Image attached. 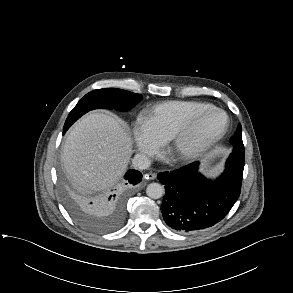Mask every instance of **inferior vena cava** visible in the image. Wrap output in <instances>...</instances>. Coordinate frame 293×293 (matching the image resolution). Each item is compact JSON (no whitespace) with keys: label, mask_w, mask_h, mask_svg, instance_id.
Returning a JSON list of instances; mask_svg holds the SVG:
<instances>
[{"label":"inferior vena cava","mask_w":293,"mask_h":293,"mask_svg":"<svg viewBox=\"0 0 293 293\" xmlns=\"http://www.w3.org/2000/svg\"><path fill=\"white\" fill-rule=\"evenodd\" d=\"M151 161L144 154H136L132 160V165L137 170H145L150 167Z\"/></svg>","instance_id":"1"}]
</instances>
